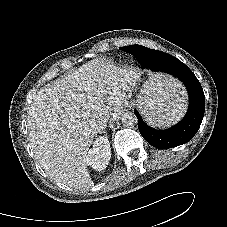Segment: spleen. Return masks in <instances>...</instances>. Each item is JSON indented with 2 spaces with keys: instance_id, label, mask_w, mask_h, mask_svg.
Returning <instances> with one entry per match:
<instances>
[{
  "instance_id": "3e777b00",
  "label": "spleen",
  "mask_w": 227,
  "mask_h": 227,
  "mask_svg": "<svg viewBox=\"0 0 227 227\" xmlns=\"http://www.w3.org/2000/svg\"><path fill=\"white\" fill-rule=\"evenodd\" d=\"M183 98L184 91L173 78L157 74L151 78L147 96L143 97L142 114L154 126H169L183 115Z\"/></svg>"
}]
</instances>
